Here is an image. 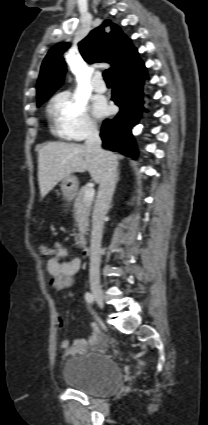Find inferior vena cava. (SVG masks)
Listing matches in <instances>:
<instances>
[{
	"label": "inferior vena cava",
	"mask_w": 208,
	"mask_h": 425,
	"mask_svg": "<svg viewBox=\"0 0 208 425\" xmlns=\"http://www.w3.org/2000/svg\"><path fill=\"white\" fill-rule=\"evenodd\" d=\"M86 147L97 154L104 163V172L100 181L99 191L92 215V231L90 243V269L91 283H99V268L101 262V240L103 233L104 218L107 214L116 185L117 159L101 148V139L97 129L90 125L87 128Z\"/></svg>",
	"instance_id": "obj_1"
}]
</instances>
